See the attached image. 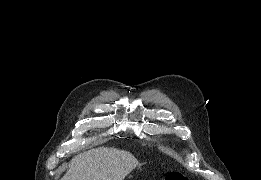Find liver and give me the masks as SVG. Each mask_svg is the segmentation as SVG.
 I'll return each instance as SVG.
<instances>
[{"label":"liver","instance_id":"1","mask_svg":"<svg viewBox=\"0 0 261 180\" xmlns=\"http://www.w3.org/2000/svg\"><path fill=\"white\" fill-rule=\"evenodd\" d=\"M138 164L130 152L95 148L74 156L61 180H125Z\"/></svg>","mask_w":261,"mask_h":180}]
</instances>
